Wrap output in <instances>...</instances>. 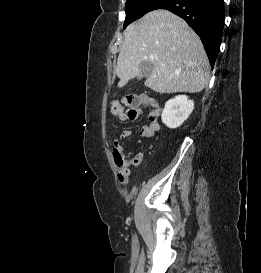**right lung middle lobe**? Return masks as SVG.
I'll use <instances>...</instances> for the list:
<instances>
[{
  "label": "right lung middle lobe",
  "instance_id": "right-lung-middle-lobe-1",
  "mask_svg": "<svg viewBox=\"0 0 261 273\" xmlns=\"http://www.w3.org/2000/svg\"><path fill=\"white\" fill-rule=\"evenodd\" d=\"M155 0H127L126 2V18L124 22V29L128 24L136 19L141 18L143 15L148 13L149 5L154 3Z\"/></svg>",
  "mask_w": 261,
  "mask_h": 273
}]
</instances>
